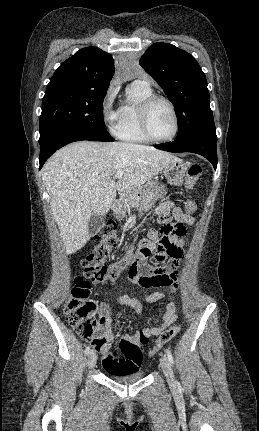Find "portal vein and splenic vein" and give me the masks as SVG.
<instances>
[{
	"label": "portal vein and splenic vein",
	"mask_w": 259,
	"mask_h": 431,
	"mask_svg": "<svg viewBox=\"0 0 259 431\" xmlns=\"http://www.w3.org/2000/svg\"><path fill=\"white\" fill-rule=\"evenodd\" d=\"M124 172L123 171H118L114 174V178L115 179H120L123 176Z\"/></svg>",
	"instance_id": "18ae733b"
}]
</instances>
